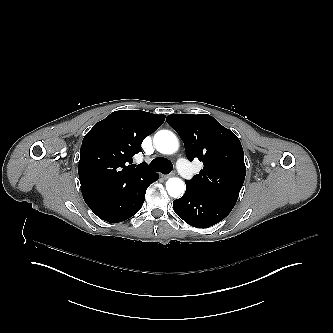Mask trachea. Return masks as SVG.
Wrapping results in <instances>:
<instances>
[{"label":"trachea","mask_w":333,"mask_h":333,"mask_svg":"<svg viewBox=\"0 0 333 333\" xmlns=\"http://www.w3.org/2000/svg\"><path fill=\"white\" fill-rule=\"evenodd\" d=\"M149 168L153 171L169 174L173 169V165L170 161L157 157L149 164Z\"/></svg>","instance_id":"obj_1"}]
</instances>
